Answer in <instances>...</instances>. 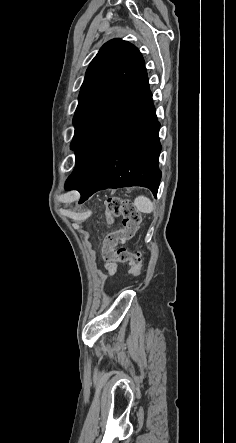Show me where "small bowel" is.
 Masks as SVG:
<instances>
[{
    "label": "small bowel",
    "instance_id": "small-bowel-1",
    "mask_svg": "<svg viewBox=\"0 0 236 443\" xmlns=\"http://www.w3.org/2000/svg\"><path fill=\"white\" fill-rule=\"evenodd\" d=\"M107 273L113 275L116 272V266L113 263H109L106 265Z\"/></svg>",
    "mask_w": 236,
    "mask_h": 443
}]
</instances>
